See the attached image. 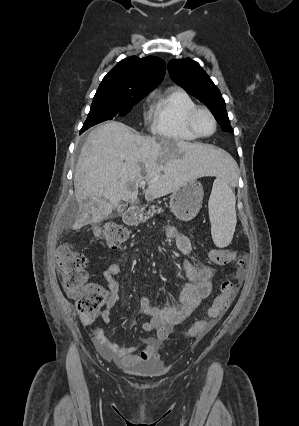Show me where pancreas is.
<instances>
[{
    "mask_svg": "<svg viewBox=\"0 0 299 426\" xmlns=\"http://www.w3.org/2000/svg\"><path fill=\"white\" fill-rule=\"evenodd\" d=\"M163 210L161 208L155 209V208H151L148 212H147V218L153 216L154 213L156 212H160Z\"/></svg>",
    "mask_w": 299,
    "mask_h": 426,
    "instance_id": "cf45deb5",
    "label": "pancreas"
}]
</instances>
